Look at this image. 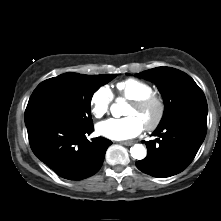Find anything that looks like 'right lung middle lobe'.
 Returning a JSON list of instances; mask_svg holds the SVG:
<instances>
[{"label": "right lung middle lobe", "mask_w": 221, "mask_h": 221, "mask_svg": "<svg viewBox=\"0 0 221 221\" xmlns=\"http://www.w3.org/2000/svg\"><path fill=\"white\" fill-rule=\"evenodd\" d=\"M115 76L65 73L43 81L29 99L25 124L38 118H56L79 128L93 126L91 98Z\"/></svg>", "instance_id": "obj_1"}]
</instances>
